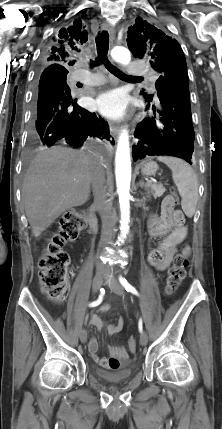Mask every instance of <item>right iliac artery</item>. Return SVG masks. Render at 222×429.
Instances as JSON below:
<instances>
[{"label":"right iliac artery","mask_w":222,"mask_h":429,"mask_svg":"<svg viewBox=\"0 0 222 429\" xmlns=\"http://www.w3.org/2000/svg\"><path fill=\"white\" fill-rule=\"evenodd\" d=\"M103 293H104V289H101V295L99 296V299L96 300V301H94V302H92V303H90L89 307H96V306H98L101 303V301H102V294Z\"/></svg>","instance_id":"1"}]
</instances>
